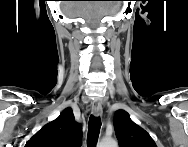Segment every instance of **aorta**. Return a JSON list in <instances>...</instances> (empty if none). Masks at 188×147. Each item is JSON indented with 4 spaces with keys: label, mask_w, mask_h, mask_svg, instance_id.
I'll use <instances>...</instances> for the list:
<instances>
[{
    "label": "aorta",
    "mask_w": 188,
    "mask_h": 147,
    "mask_svg": "<svg viewBox=\"0 0 188 147\" xmlns=\"http://www.w3.org/2000/svg\"><path fill=\"white\" fill-rule=\"evenodd\" d=\"M100 147H117V142L113 138H104L99 143Z\"/></svg>",
    "instance_id": "1"
}]
</instances>
